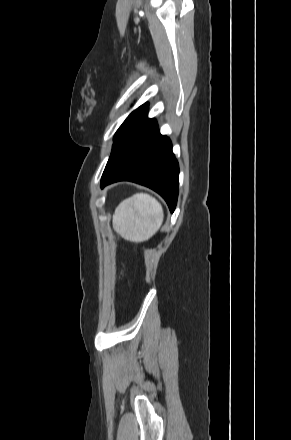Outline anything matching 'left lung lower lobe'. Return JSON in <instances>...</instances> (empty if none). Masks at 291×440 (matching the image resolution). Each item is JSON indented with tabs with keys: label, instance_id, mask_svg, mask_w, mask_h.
I'll use <instances>...</instances> for the list:
<instances>
[{
	"label": "left lung lower lobe",
	"instance_id": "1",
	"mask_svg": "<svg viewBox=\"0 0 291 440\" xmlns=\"http://www.w3.org/2000/svg\"><path fill=\"white\" fill-rule=\"evenodd\" d=\"M147 109L115 139L101 178V188L127 180L159 193L174 211L178 197L179 166L169 138L159 133Z\"/></svg>",
	"mask_w": 291,
	"mask_h": 440
}]
</instances>
